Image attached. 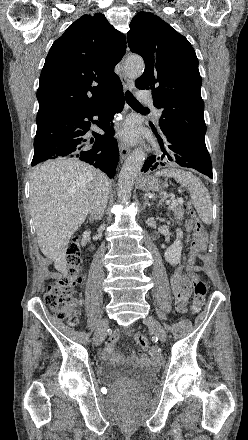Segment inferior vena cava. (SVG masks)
I'll return each instance as SVG.
<instances>
[{
    "mask_svg": "<svg viewBox=\"0 0 248 440\" xmlns=\"http://www.w3.org/2000/svg\"><path fill=\"white\" fill-rule=\"evenodd\" d=\"M109 192V183L106 179L101 178L94 186V190L90 199L89 213L93 220H100L107 206Z\"/></svg>",
    "mask_w": 248,
    "mask_h": 440,
    "instance_id": "1",
    "label": "inferior vena cava"
}]
</instances>
